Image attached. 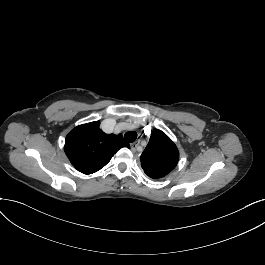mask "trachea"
<instances>
[{"label": "trachea", "mask_w": 265, "mask_h": 265, "mask_svg": "<svg viewBox=\"0 0 265 265\" xmlns=\"http://www.w3.org/2000/svg\"><path fill=\"white\" fill-rule=\"evenodd\" d=\"M124 138L127 142L132 143L137 139V133L133 131L126 132Z\"/></svg>", "instance_id": "trachea-1"}]
</instances>
